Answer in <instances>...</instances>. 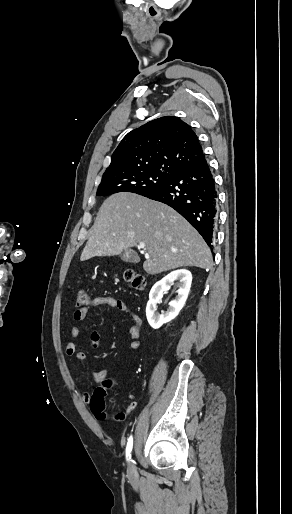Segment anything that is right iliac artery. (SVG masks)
<instances>
[{
    "label": "right iliac artery",
    "mask_w": 292,
    "mask_h": 514,
    "mask_svg": "<svg viewBox=\"0 0 292 514\" xmlns=\"http://www.w3.org/2000/svg\"><path fill=\"white\" fill-rule=\"evenodd\" d=\"M133 447V437L130 436L126 446V459L129 460L131 458V451Z\"/></svg>",
    "instance_id": "right-iliac-artery-1"
}]
</instances>
